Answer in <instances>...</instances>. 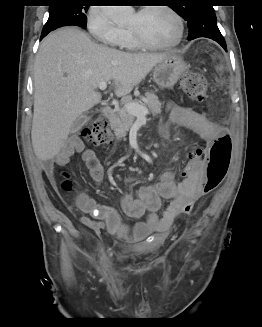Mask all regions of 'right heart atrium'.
Segmentation results:
<instances>
[{
  "label": "right heart atrium",
  "mask_w": 262,
  "mask_h": 327,
  "mask_svg": "<svg viewBox=\"0 0 262 327\" xmlns=\"http://www.w3.org/2000/svg\"><path fill=\"white\" fill-rule=\"evenodd\" d=\"M86 24L91 35L98 42L113 47L122 46L125 30L115 24L109 7L92 6L87 13Z\"/></svg>",
  "instance_id": "d8ad5b80"
}]
</instances>
